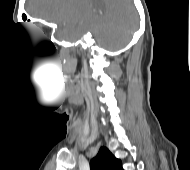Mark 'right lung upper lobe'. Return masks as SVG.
<instances>
[{
    "label": "right lung upper lobe",
    "mask_w": 190,
    "mask_h": 170,
    "mask_svg": "<svg viewBox=\"0 0 190 170\" xmlns=\"http://www.w3.org/2000/svg\"><path fill=\"white\" fill-rule=\"evenodd\" d=\"M91 170H123L121 160L117 159L106 147L90 161Z\"/></svg>",
    "instance_id": "1"
}]
</instances>
